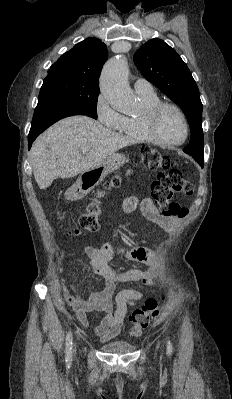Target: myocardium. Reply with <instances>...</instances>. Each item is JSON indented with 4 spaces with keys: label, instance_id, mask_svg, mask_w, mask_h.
<instances>
[{
    "label": "myocardium",
    "instance_id": "1",
    "mask_svg": "<svg viewBox=\"0 0 232 399\" xmlns=\"http://www.w3.org/2000/svg\"><path fill=\"white\" fill-rule=\"evenodd\" d=\"M165 108H171L173 110H175L177 112V114L180 116V118L182 119L184 126H185V137L182 141L179 142H175V141H171V140H167L165 138H163L157 131L156 129V119L157 116L160 114V112L165 109ZM143 123H144V127L147 131V133L156 141H158L159 143L163 144V145H168V146H179L184 144L190 134V127H189V123L188 120L184 114V112L177 106L171 103H159L149 109H147L144 113L143 116Z\"/></svg>",
    "mask_w": 232,
    "mask_h": 399
}]
</instances>
